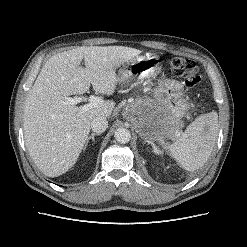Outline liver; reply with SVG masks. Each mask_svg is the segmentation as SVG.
<instances>
[{"instance_id":"1","label":"liver","mask_w":247,"mask_h":247,"mask_svg":"<svg viewBox=\"0 0 247 247\" xmlns=\"http://www.w3.org/2000/svg\"><path fill=\"white\" fill-rule=\"evenodd\" d=\"M140 53L124 46H81L47 60L27 95L23 119L27 150L42 173L57 177L67 172L84 149L91 121L110 117L115 107L107 100L82 111L67 102L68 96L83 94L90 85L112 95L119 82L116 69Z\"/></svg>"}]
</instances>
